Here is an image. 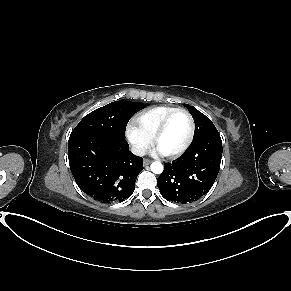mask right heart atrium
<instances>
[{
    "label": "right heart atrium",
    "mask_w": 291,
    "mask_h": 291,
    "mask_svg": "<svg viewBox=\"0 0 291 291\" xmlns=\"http://www.w3.org/2000/svg\"><path fill=\"white\" fill-rule=\"evenodd\" d=\"M126 136L134 152L138 155H142L151 143V139L134 124H129L127 126Z\"/></svg>",
    "instance_id": "obj_1"
}]
</instances>
